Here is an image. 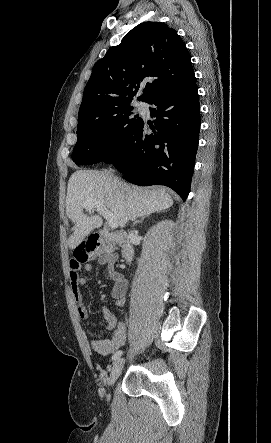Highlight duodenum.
Returning <instances> with one entry per match:
<instances>
[{
    "mask_svg": "<svg viewBox=\"0 0 271 443\" xmlns=\"http://www.w3.org/2000/svg\"><path fill=\"white\" fill-rule=\"evenodd\" d=\"M103 238L115 241L122 249V253L125 259H130L133 253L132 245L128 237L120 233H108L101 231L99 233Z\"/></svg>",
    "mask_w": 271,
    "mask_h": 443,
    "instance_id": "duodenum-1",
    "label": "duodenum"
}]
</instances>
